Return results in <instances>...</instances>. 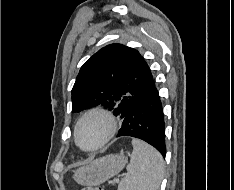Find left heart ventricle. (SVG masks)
Listing matches in <instances>:
<instances>
[{
  "instance_id": "b2bd125f",
  "label": "left heart ventricle",
  "mask_w": 234,
  "mask_h": 190,
  "mask_svg": "<svg viewBox=\"0 0 234 190\" xmlns=\"http://www.w3.org/2000/svg\"><path fill=\"white\" fill-rule=\"evenodd\" d=\"M105 132L106 125L101 119H88L80 129L79 141L84 147H91L104 137Z\"/></svg>"
}]
</instances>
